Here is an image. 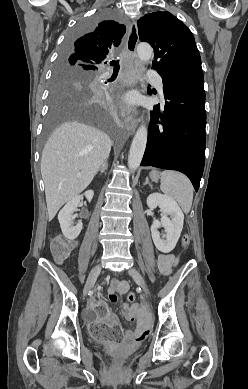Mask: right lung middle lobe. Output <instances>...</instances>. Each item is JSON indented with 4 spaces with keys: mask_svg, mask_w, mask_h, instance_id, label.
Returning a JSON list of instances; mask_svg holds the SVG:
<instances>
[{
    "mask_svg": "<svg viewBox=\"0 0 248 389\" xmlns=\"http://www.w3.org/2000/svg\"><path fill=\"white\" fill-rule=\"evenodd\" d=\"M106 16V12H99L95 16L82 20L70 35L69 40L64 47V55L57 64L55 73L56 84L51 98L48 124L44 134L45 138L58 124L71 120H83L109 129V119L104 110L97 104L91 102L70 103L60 99L56 94L58 87L69 80H71V83H76L78 81L88 82L93 78L94 72L89 68L66 67L63 64V58L68 53L70 44L77 36L94 29L98 22L106 18Z\"/></svg>",
    "mask_w": 248,
    "mask_h": 389,
    "instance_id": "1",
    "label": "right lung middle lobe"
}]
</instances>
